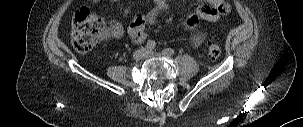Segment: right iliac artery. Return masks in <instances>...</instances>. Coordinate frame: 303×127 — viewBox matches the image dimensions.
Wrapping results in <instances>:
<instances>
[{
  "instance_id": "82829eb1",
  "label": "right iliac artery",
  "mask_w": 303,
  "mask_h": 127,
  "mask_svg": "<svg viewBox=\"0 0 303 127\" xmlns=\"http://www.w3.org/2000/svg\"><path fill=\"white\" fill-rule=\"evenodd\" d=\"M155 47H156V43L153 40L148 41L146 44V48L148 50H153L155 49Z\"/></svg>"
}]
</instances>
